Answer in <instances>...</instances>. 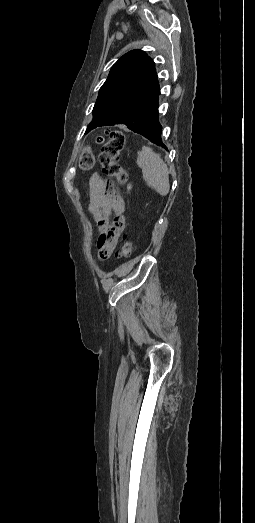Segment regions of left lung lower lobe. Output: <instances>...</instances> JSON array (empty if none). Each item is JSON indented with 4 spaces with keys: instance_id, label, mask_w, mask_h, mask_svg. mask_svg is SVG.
Returning a JSON list of instances; mask_svg holds the SVG:
<instances>
[{
    "instance_id": "0a47b994",
    "label": "left lung lower lobe",
    "mask_w": 255,
    "mask_h": 523,
    "mask_svg": "<svg viewBox=\"0 0 255 523\" xmlns=\"http://www.w3.org/2000/svg\"><path fill=\"white\" fill-rule=\"evenodd\" d=\"M163 125L157 124V126H152L151 130H138V132H143L144 136L147 137V140H150L151 145L157 146L158 149L165 150L167 148V145L162 140L163 134H160L162 132Z\"/></svg>"
}]
</instances>
